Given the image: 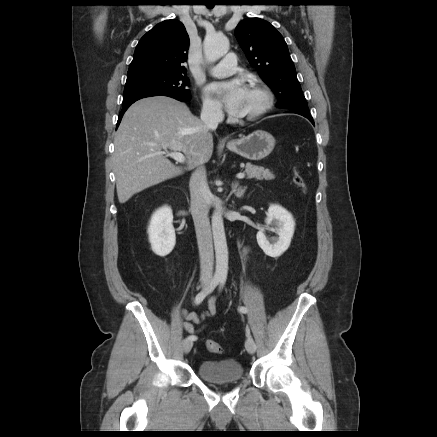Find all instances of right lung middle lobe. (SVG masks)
I'll use <instances>...</instances> for the list:
<instances>
[{
	"label": "right lung middle lobe",
	"mask_w": 437,
	"mask_h": 437,
	"mask_svg": "<svg viewBox=\"0 0 437 437\" xmlns=\"http://www.w3.org/2000/svg\"><path fill=\"white\" fill-rule=\"evenodd\" d=\"M189 86L190 82L185 74L159 71L128 72L123 105L158 95L190 99Z\"/></svg>",
	"instance_id": "1"
}]
</instances>
